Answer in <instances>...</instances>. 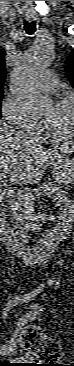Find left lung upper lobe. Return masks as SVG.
<instances>
[{"label":"left lung upper lobe","mask_w":74,"mask_h":366,"mask_svg":"<svg viewBox=\"0 0 74 366\" xmlns=\"http://www.w3.org/2000/svg\"><path fill=\"white\" fill-rule=\"evenodd\" d=\"M66 64L68 79L70 80L71 85L74 87V51L69 54Z\"/></svg>","instance_id":"left-lung-upper-lobe-1"}]
</instances>
